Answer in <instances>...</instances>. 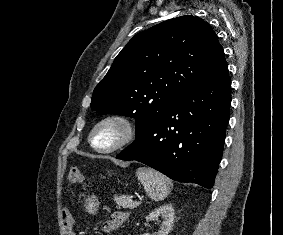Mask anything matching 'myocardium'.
Returning a JSON list of instances; mask_svg holds the SVG:
<instances>
[{
  "mask_svg": "<svg viewBox=\"0 0 283 235\" xmlns=\"http://www.w3.org/2000/svg\"><path fill=\"white\" fill-rule=\"evenodd\" d=\"M107 124H116L120 127L121 133L119 138L110 146L101 147L96 144L95 136L99 130ZM137 135L136 123L127 115L122 113H111L100 118L92 127L89 133V143L100 153L108 154L116 152L128 146Z\"/></svg>",
  "mask_w": 283,
  "mask_h": 235,
  "instance_id": "obj_1",
  "label": "myocardium"
}]
</instances>
